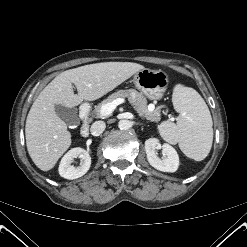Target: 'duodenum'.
I'll return each mask as SVG.
<instances>
[{
	"label": "duodenum",
	"mask_w": 247,
	"mask_h": 247,
	"mask_svg": "<svg viewBox=\"0 0 247 247\" xmlns=\"http://www.w3.org/2000/svg\"><path fill=\"white\" fill-rule=\"evenodd\" d=\"M80 119H81V135L87 137L89 135L90 128V106L83 104L80 107Z\"/></svg>",
	"instance_id": "410a0bca"
}]
</instances>
